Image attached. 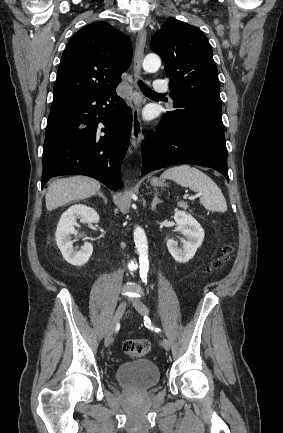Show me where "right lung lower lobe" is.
<instances>
[{
  "mask_svg": "<svg viewBox=\"0 0 283 433\" xmlns=\"http://www.w3.org/2000/svg\"><path fill=\"white\" fill-rule=\"evenodd\" d=\"M131 128V109L117 96L116 88L51 106L41 186L54 176L79 174L93 177L110 189H119V168Z\"/></svg>",
  "mask_w": 283,
  "mask_h": 433,
  "instance_id": "obj_1",
  "label": "right lung lower lobe"
}]
</instances>
